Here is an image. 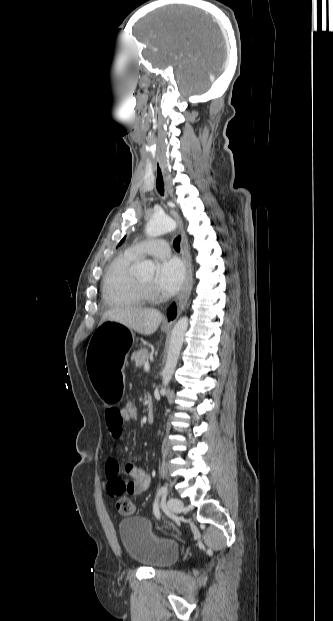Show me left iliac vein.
<instances>
[{
  "instance_id": "4c4485c4",
  "label": "left iliac vein",
  "mask_w": 333,
  "mask_h": 621,
  "mask_svg": "<svg viewBox=\"0 0 333 621\" xmlns=\"http://www.w3.org/2000/svg\"><path fill=\"white\" fill-rule=\"evenodd\" d=\"M183 502L178 498H170L168 501V508L172 514H178L183 510Z\"/></svg>"
}]
</instances>
